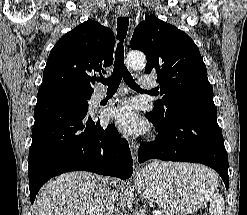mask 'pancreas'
Wrapping results in <instances>:
<instances>
[{"label":"pancreas","instance_id":"1","mask_svg":"<svg viewBox=\"0 0 247 215\" xmlns=\"http://www.w3.org/2000/svg\"><path fill=\"white\" fill-rule=\"evenodd\" d=\"M161 215H172V214L167 211H161Z\"/></svg>","mask_w":247,"mask_h":215}]
</instances>
